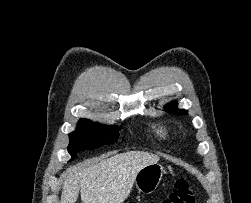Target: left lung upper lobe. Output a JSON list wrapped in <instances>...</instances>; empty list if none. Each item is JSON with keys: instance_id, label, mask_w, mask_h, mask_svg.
Listing matches in <instances>:
<instances>
[{"instance_id": "1", "label": "left lung upper lobe", "mask_w": 251, "mask_h": 203, "mask_svg": "<svg viewBox=\"0 0 251 203\" xmlns=\"http://www.w3.org/2000/svg\"><path fill=\"white\" fill-rule=\"evenodd\" d=\"M166 111H168V112H170L172 114H176V115L188 114V112L186 110H181V109L177 108V102L176 101H172L171 103L166 105Z\"/></svg>"}]
</instances>
